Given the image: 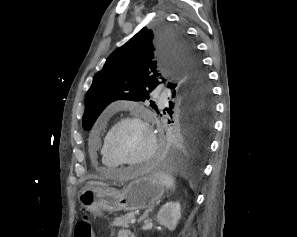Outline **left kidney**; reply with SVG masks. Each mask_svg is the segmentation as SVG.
Wrapping results in <instances>:
<instances>
[{
    "label": "left kidney",
    "instance_id": "1",
    "mask_svg": "<svg viewBox=\"0 0 297 237\" xmlns=\"http://www.w3.org/2000/svg\"><path fill=\"white\" fill-rule=\"evenodd\" d=\"M181 218V206L179 202H167L162 206L157 215L160 225L174 231Z\"/></svg>",
    "mask_w": 297,
    "mask_h": 237
}]
</instances>
